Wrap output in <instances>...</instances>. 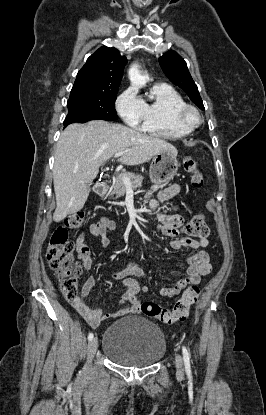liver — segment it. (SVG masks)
<instances>
[{"label":"liver","instance_id":"obj_1","mask_svg":"<svg viewBox=\"0 0 266 415\" xmlns=\"http://www.w3.org/2000/svg\"><path fill=\"white\" fill-rule=\"evenodd\" d=\"M163 150L177 155L170 143L121 124L93 120L69 125L61 133L55 151L53 220L60 222L83 208L99 167L118 151H126L119 160L122 164L138 165Z\"/></svg>","mask_w":266,"mask_h":415}]
</instances>
